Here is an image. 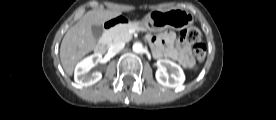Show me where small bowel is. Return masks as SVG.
Here are the masks:
<instances>
[{"label": "small bowel", "mask_w": 276, "mask_h": 120, "mask_svg": "<svg viewBox=\"0 0 276 120\" xmlns=\"http://www.w3.org/2000/svg\"><path fill=\"white\" fill-rule=\"evenodd\" d=\"M148 41L153 46L156 58L177 60L183 67H191L193 59L190 46L172 31H166L158 36H148Z\"/></svg>", "instance_id": "1"}]
</instances>
